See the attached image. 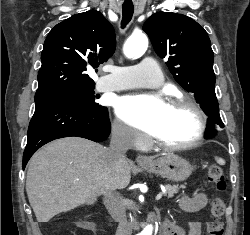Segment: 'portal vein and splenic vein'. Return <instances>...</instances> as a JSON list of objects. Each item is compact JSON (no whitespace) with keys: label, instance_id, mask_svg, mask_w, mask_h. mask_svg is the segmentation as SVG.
Masks as SVG:
<instances>
[{"label":"portal vein and splenic vein","instance_id":"18ae733b","mask_svg":"<svg viewBox=\"0 0 250 235\" xmlns=\"http://www.w3.org/2000/svg\"><path fill=\"white\" fill-rule=\"evenodd\" d=\"M161 197H162V192L158 193L155 199L158 201L160 200Z\"/></svg>","mask_w":250,"mask_h":235}]
</instances>
